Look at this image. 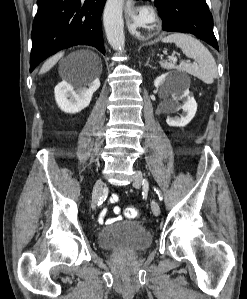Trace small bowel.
Returning a JSON list of instances; mask_svg holds the SVG:
<instances>
[{"instance_id": "1", "label": "small bowel", "mask_w": 247, "mask_h": 299, "mask_svg": "<svg viewBox=\"0 0 247 299\" xmlns=\"http://www.w3.org/2000/svg\"><path fill=\"white\" fill-rule=\"evenodd\" d=\"M118 200H119V196H118L117 194H112V195L110 196V198H109V203H110V204H114V203L118 202ZM120 212H121L120 207L115 206V207L113 208V213L115 214V217H113V218H109V219H108V218H107V209L104 208V209L100 212V214H99L98 221H99L100 224H104V223H113V222H115V221H117V220H120V219L122 218L121 215H120Z\"/></svg>"}]
</instances>
